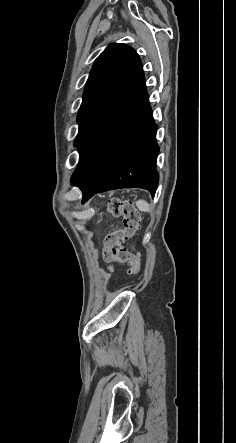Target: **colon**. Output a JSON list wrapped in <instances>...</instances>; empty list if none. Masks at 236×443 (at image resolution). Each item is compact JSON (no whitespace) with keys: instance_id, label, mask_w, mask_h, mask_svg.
Wrapping results in <instances>:
<instances>
[{"instance_id":"obj_1","label":"colon","mask_w":236,"mask_h":443,"mask_svg":"<svg viewBox=\"0 0 236 443\" xmlns=\"http://www.w3.org/2000/svg\"><path fill=\"white\" fill-rule=\"evenodd\" d=\"M108 213L111 217L122 216L123 228L106 236L103 257L107 262L129 263L130 272L136 274L140 268V256L130 252L121 243L130 239L138 228L140 216L137 207L130 200L112 198L108 202Z\"/></svg>"}]
</instances>
